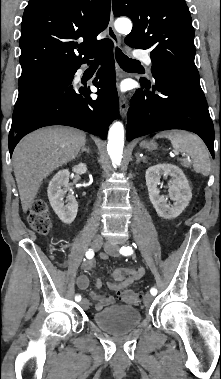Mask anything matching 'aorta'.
Instances as JSON below:
<instances>
[{"label":"aorta","instance_id":"aorta-1","mask_svg":"<svg viewBox=\"0 0 221 379\" xmlns=\"http://www.w3.org/2000/svg\"><path fill=\"white\" fill-rule=\"evenodd\" d=\"M115 29L119 33L127 34L132 29V23L127 18H119L115 21ZM124 147V126L121 122H114L108 132L107 151L114 166H119L122 161Z\"/></svg>","mask_w":221,"mask_h":379}]
</instances>
